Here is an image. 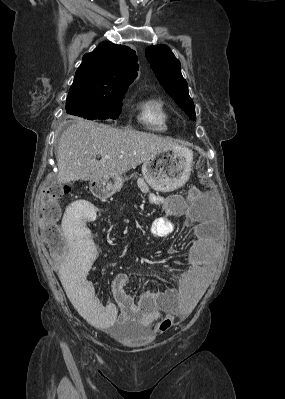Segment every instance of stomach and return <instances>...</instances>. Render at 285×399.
<instances>
[{
  "instance_id": "0dacf381",
  "label": "stomach",
  "mask_w": 285,
  "mask_h": 399,
  "mask_svg": "<svg viewBox=\"0 0 285 399\" xmlns=\"http://www.w3.org/2000/svg\"><path fill=\"white\" fill-rule=\"evenodd\" d=\"M192 156V151L185 147L161 151L143 163V177L155 190L173 191L189 179ZM123 182V177L109 175L91 180L90 190L95 197L104 200L118 192Z\"/></svg>"
}]
</instances>
